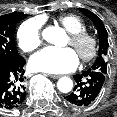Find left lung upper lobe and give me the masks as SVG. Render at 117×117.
Instances as JSON below:
<instances>
[{
	"mask_svg": "<svg viewBox=\"0 0 117 117\" xmlns=\"http://www.w3.org/2000/svg\"><path fill=\"white\" fill-rule=\"evenodd\" d=\"M79 10L92 20L99 34L100 44H99L98 58L95 61V63L92 65V67L89 69L107 74L106 55L109 44L107 40V31L105 29V26L103 25L102 21L91 11L83 8H80Z\"/></svg>",
	"mask_w": 117,
	"mask_h": 117,
	"instance_id": "obj_1",
	"label": "left lung upper lobe"
}]
</instances>
